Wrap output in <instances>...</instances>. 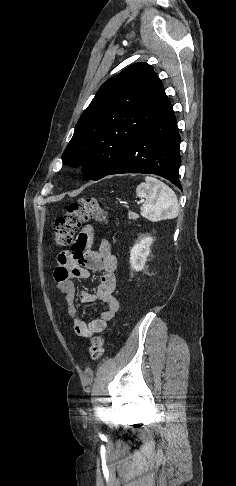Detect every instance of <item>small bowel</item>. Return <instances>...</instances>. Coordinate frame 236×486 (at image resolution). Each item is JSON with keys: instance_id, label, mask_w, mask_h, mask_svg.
<instances>
[{"instance_id": "small-bowel-1", "label": "small bowel", "mask_w": 236, "mask_h": 486, "mask_svg": "<svg viewBox=\"0 0 236 486\" xmlns=\"http://www.w3.org/2000/svg\"><path fill=\"white\" fill-rule=\"evenodd\" d=\"M94 233L92 227H86L77 237L70 250L58 254V265L54 270L57 288L65 295L74 332L81 337H91L103 332L107 323L113 319L119 310V302L114 296L116 288L115 271L116 257L111 253V247L106 239H101L99 249L92 250ZM90 271L102 272L99 285L95 292H76L75 281L87 279ZM76 299L81 303L101 301L106 308L99 317L89 323L84 322L75 306Z\"/></svg>"}]
</instances>
